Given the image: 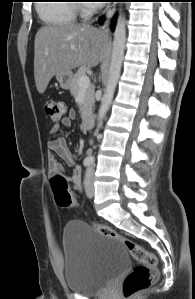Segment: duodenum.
I'll list each match as a JSON object with an SVG mask.
<instances>
[{
  "label": "duodenum",
  "mask_w": 195,
  "mask_h": 299,
  "mask_svg": "<svg viewBox=\"0 0 195 299\" xmlns=\"http://www.w3.org/2000/svg\"><path fill=\"white\" fill-rule=\"evenodd\" d=\"M81 120L85 128L92 127L94 123L93 113L90 110H85L81 115Z\"/></svg>",
  "instance_id": "410a0bca"
}]
</instances>
